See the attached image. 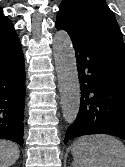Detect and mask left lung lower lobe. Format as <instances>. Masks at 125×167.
Wrapping results in <instances>:
<instances>
[{"label": "left lung lower lobe", "instance_id": "left-lung-lower-lobe-1", "mask_svg": "<svg viewBox=\"0 0 125 167\" xmlns=\"http://www.w3.org/2000/svg\"><path fill=\"white\" fill-rule=\"evenodd\" d=\"M56 28L64 29L58 22ZM69 35L77 60L81 103L64 143L90 134H109L125 140L123 39L113 33Z\"/></svg>", "mask_w": 125, "mask_h": 167}]
</instances>
